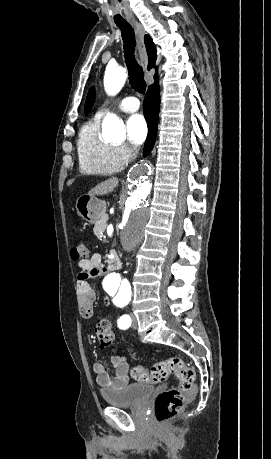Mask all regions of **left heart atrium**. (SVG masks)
<instances>
[{
    "label": "left heart atrium",
    "instance_id": "left-heart-atrium-1",
    "mask_svg": "<svg viewBox=\"0 0 271 459\" xmlns=\"http://www.w3.org/2000/svg\"><path fill=\"white\" fill-rule=\"evenodd\" d=\"M148 128L145 119L140 114H135L127 120V138L134 145H141L146 139Z\"/></svg>",
    "mask_w": 271,
    "mask_h": 459
}]
</instances>
